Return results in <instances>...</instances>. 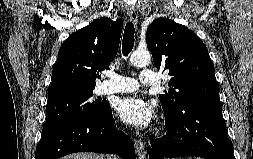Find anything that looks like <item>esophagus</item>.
Segmentation results:
<instances>
[{
  "instance_id": "1",
  "label": "esophagus",
  "mask_w": 253,
  "mask_h": 159,
  "mask_svg": "<svg viewBox=\"0 0 253 159\" xmlns=\"http://www.w3.org/2000/svg\"><path fill=\"white\" fill-rule=\"evenodd\" d=\"M128 16L130 20L136 24L138 22V12L135 6L128 8ZM134 147L138 159H146L145 144L143 141L134 139Z\"/></svg>"
}]
</instances>
